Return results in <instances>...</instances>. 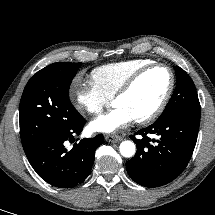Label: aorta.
I'll use <instances>...</instances> for the list:
<instances>
[{
  "label": "aorta",
  "mask_w": 215,
  "mask_h": 215,
  "mask_svg": "<svg viewBox=\"0 0 215 215\" xmlns=\"http://www.w3.org/2000/svg\"><path fill=\"white\" fill-rule=\"evenodd\" d=\"M135 144L132 141H123L120 144V153L122 156L129 158L135 154Z\"/></svg>",
  "instance_id": "1"
}]
</instances>
